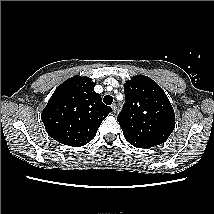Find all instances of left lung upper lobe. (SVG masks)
Wrapping results in <instances>:
<instances>
[{"label": "left lung upper lobe", "mask_w": 214, "mask_h": 214, "mask_svg": "<svg viewBox=\"0 0 214 214\" xmlns=\"http://www.w3.org/2000/svg\"><path fill=\"white\" fill-rule=\"evenodd\" d=\"M125 104L117 120L124 137L164 143L175 127L173 107L162 88L151 78L137 75L124 84Z\"/></svg>", "instance_id": "5c2ea615"}]
</instances>
